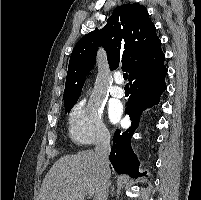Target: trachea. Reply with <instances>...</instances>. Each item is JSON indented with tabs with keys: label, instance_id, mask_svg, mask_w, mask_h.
Here are the masks:
<instances>
[{
	"label": "trachea",
	"instance_id": "obj_1",
	"mask_svg": "<svg viewBox=\"0 0 201 200\" xmlns=\"http://www.w3.org/2000/svg\"><path fill=\"white\" fill-rule=\"evenodd\" d=\"M123 78H124V80H127L128 74H127V73H124V74H123Z\"/></svg>",
	"mask_w": 201,
	"mask_h": 200
}]
</instances>
